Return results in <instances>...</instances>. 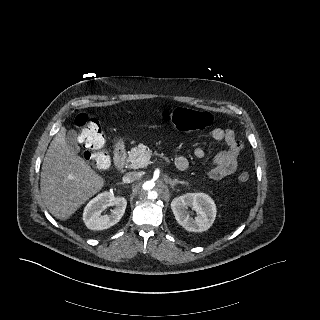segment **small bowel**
I'll list each match as a JSON object with an SVG mask.
<instances>
[{
    "label": "small bowel",
    "instance_id": "small-bowel-1",
    "mask_svg": "<svg viewBox=\"0 0 320 320\" xmlns=\"http://www.w3.org/2000/svg\"><path fill=\"white\" fill-rule=\"evenodd\" d=\"M211 137L218 142H224L226 148L216 154L208 171L212 179L219 180L232 175L237 170L238 157L243 150V143L237 139L234 131L230 129L215 128L211 132ZM197 158L203 159L206 156L205 151L198 147L194 150ZM176 164L179 167H188L189 163L186 157L178 156Z\"/></svg>",
    "mask_w": 320,
    "mask_h": 320
}]
</instances>
